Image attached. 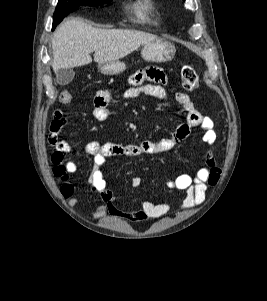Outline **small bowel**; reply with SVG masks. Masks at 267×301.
I'll return each mask as SVG.
<instances>
[{"mask_svg": "<svg viewBox=\"0 0 267 301\" xmlns=\"http://www.w3.org/2000/svg\"><path fill=\"white\" fill-rule=\"evenodd\" d=\"M150 81L151 83H145ZM167 84L166 74L158 68H146L138 70L129 77L130 87L124 92L123 97L133 99L140 95H146L160 100H168L169 94L164 86ZM112 99V92L108 89L97 91L93 98V116L98 121L109 119L111 112L109 103ZM175 100L180 104L181 114L186 117V122L181 124L176 131L167 138L160 141L144 140L137 144H117L112 142L99 143L89 142L85 151L93 157V165L89 177L86 179L88 188L99 195L101 204L96 208L98 213H109L115 217H128L133 220L155 219L163 216L170 210L166 202L154 203L144 200L141 208L124 211L115 204L113 192L107 188L103 173V166L108 158L115 156H139L143 154H156L167 152L174 146L186 139L192 128L199 127L204 131L203 141L210 147L216 142L214 122L208 116L202 115L196 110L189 97L182 92H175ZM66 120L61 110L54 112L53 121L50 126L48 137L49 144L54 151L51 156L53 174L60 182V193L68 201L71 207L78 203L74 196L75 187L69 177L70 173L77 170V164L73 160H66L65 156L71 150L69 144L61 139L62 128ZM221 176V170L212 155L208 153L206 164L198 169L194 176L180 174L175 179L166 183L170 189L185 190L186 196L181 203L182 209H190L200 205L209 187L215 186ZM142 179L135 176L132 179V186L137 188L141 185Z\"/></svg>", "mask_w": 267, "mask_h": 301, "instance_id": "1", "label": "small bowel"}]
</instances>
